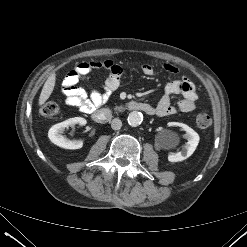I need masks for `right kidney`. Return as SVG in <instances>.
<instances>
[{"label": "right kidney", "mask_w": 247, "mask_h": 247, "mask_svg": "<svg viewBox=\"0 0 247 247\" xmlns=\"http://www.w3.org/2000/svg\"><path fill=\"white\" fill-rule=\"evenodd\" d=\"M87 123L85 118L74 117L65 120L61 123L53 125L48 132V137L52 143L64 148V149H80L83 146V141L81 140H70L63 136V132L66 127L75 126L76 124L85 125Z\"/></svg>", "instance_id": "right-kidney-1"}]
</instances>
